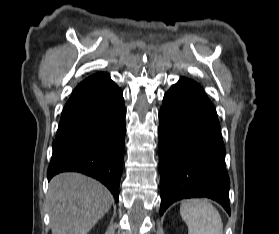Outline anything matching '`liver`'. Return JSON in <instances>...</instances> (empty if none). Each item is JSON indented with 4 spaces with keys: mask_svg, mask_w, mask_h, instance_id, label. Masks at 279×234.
Wrapping results in <instances>:
<instances>
[{
    "mask_svg": "<svg viewBox=\"0 0 279 234\" xmlns=\"http://www.w3.org/2000/svg\"><path fill=\"white\" fill-rule=\"evenodd\" d=\"M47 202L52 234H87L110 209L111 193L79 173H62L49 185Z\"/></svg>",
    "mask_w": 279,
    "mask_h": 234,
    "instance_id": "6515ba94",
    "label": "liver"
}]
</instances>
